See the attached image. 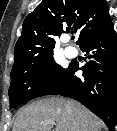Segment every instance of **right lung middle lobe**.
Returning a JSON list of instances; mask_svg holds the SVG:
<instances>
[{
    "label": "right lung middle lobe",
    "mask_w": 117,
    "mask_h": 131,
    "mask_svg": "<svg viewBox=\"0 0 117 131\" xmlns=\"http://www.w3.org/2000/svg\"><path fill=\"white\" fill-rule=\"evenodd\" d=\"M67 69L58 65L53 54L11 70L8 91L10 109L34 98L54 94L62 87Z\"/></svg>",
    "instance_id": "right-lung-middle-lobe-1"
}]
</instances>
